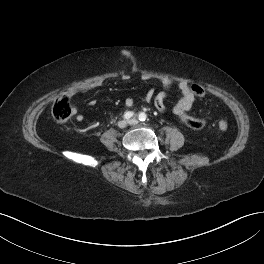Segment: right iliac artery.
I'll return each instance as SVG.
<instances>
[{
    "label": "right iliac artery",
    "mask_w": 264,
    "mask_h": 264,
    "mask_svg": "<svg viewBox=\"0 0 264 264\" xmlns=\"http://www.w3.org/2000/svg\"><path fill=\"white\" fill-rule=\"evenodd\" d=\"M134 116H135V114L133 112H130V111H128L124 114V118L127 120L133 118Z\"/></svg>",
    "instance_id": "82829eb1"
}]
</instances>
